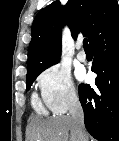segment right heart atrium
<instances>
[{
	"instance_id": "1",
	"label": "right heart atrium",
	"mask_w": 119,
	"mask_h": 141,
	"mask_svg": "<svg viewBox=\"0 0 119 141\" xmlns=\"http://www.w3.org/2000/svg\"><path fill=\"white\" fill-rule=\"evenodd\" d=\"M37 85L44 105L54 113H63L78 101V92L70 73L54 64L37 78Z\"/></svg>"
}]
</instances>
